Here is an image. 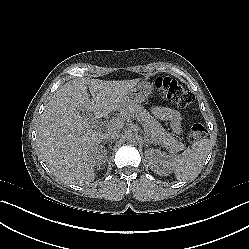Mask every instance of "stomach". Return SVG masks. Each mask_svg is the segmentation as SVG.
<instances>
[{
	"label": "stomach",
	"instance_id": "stomach-1",
	"mask_svg": "<svg viewBox=\"0 0 249 249\" xmlns=\"http://www.w3.org/2000/svg\"><path fill=\"white\" fill-rule=\"evenodd\" d=\"M153 86L148 81H141L133 87L128 95V102L139 103L143 102L153 93Z\"/></svg>",
	"mask_w": 249,
	"mask_h": 249
}]
</instances>
